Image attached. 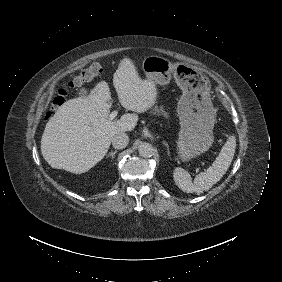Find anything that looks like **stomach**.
<instances>
[{
	"label": "stomach",
	"instance_id": "obj_1",
	"mask_svg": "<svg viewBox=\"0 0 282 282\" xmlns=\"http://www.w3.org/2000/svg\"><path fill=\"white\" fill-rule=\"evenodd\" d=\"M141 68L147 79L155 84L167 85L173 77L182 89L177 106L181 125L177 141L179 158L190 161L207 151L214 142L213 128L216 122L209 78L202 73L193 72L185 64H173L156 55L145 57Z\"/></svg>",
	"mask_w": 282,
	"mask_h": 282
}]
</instances>
